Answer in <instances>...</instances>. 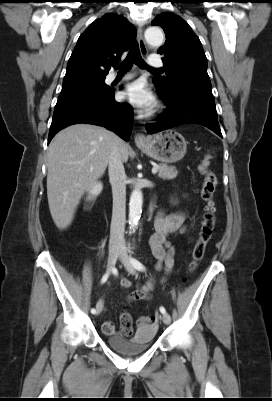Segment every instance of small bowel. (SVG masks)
Here are the masks:
<instances>
[{
  "label": "small bowel",
  "mask_w": 272,
  "mask_h": 401,
  "mask_svg": "<svg viewBox=\"0 0 272 401\" xmlns=\"http://www.w3.org/2000/svg\"><path fill=\"white\" fill-rule=\"evenodd\" d=\"M185 219L186 214L183 211L172 214H167L163 210L158 212L155 219V233L150 238L152 252L158 260V263L156 264V269L158 271L163 270L165 274H168L172 270L176 249L173 244L168 241L167 237L170 234L177 232L187 233L188 229L185 224ZM120 284L125 289H128L132 286L131 281L126 278H122ZM153 286V280H149L146 284L139 286L137 290L131 292L126 298L123 309L120 313L119 332L121 335L125 337H130L133 335L134 328L132 325V317L128 312V307L135 301L149 299ZM97 305L102 310L103 301H99ZM147 327L155 328L154 325L139 326L138 331ZM103 331L107 335L115 334V322L111 320L105 321L103 324Z\"/></svg>",
  "instance_id": "obj_1"
}]
</instances>
